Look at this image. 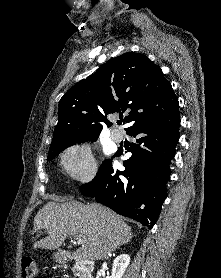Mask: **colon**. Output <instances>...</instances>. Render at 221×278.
Masks as SVG:
<instances>
[{
  "mask_svg": "<svg viewBox=\"0 0 221 278\" xmlns=\"http://www.w3.org/2000/svg\"><path fill=\"white\" fill-rule=\"evenodd\" d=\"M21 278H43L40 275L39 267L36 261L31 257H25L21 262ZM52 278H63L62 276H55Z\"/></svg>",
  "mask_w": 221,
  "mask_h": 278,
  "instance_id": "obj_1",
  "label": "colon"
}]
</instances>
